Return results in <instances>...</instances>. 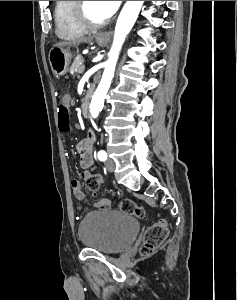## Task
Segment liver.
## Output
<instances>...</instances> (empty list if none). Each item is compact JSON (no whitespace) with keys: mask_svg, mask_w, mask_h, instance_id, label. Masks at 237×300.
I'll use <instances>...</instances> for the list:
<instances>
[{"mask_svg":"<svg viewBox=\"0 0 237 300\" xmlns=\"http://www.w3.org/2000/svg\"><path fill=\"white\" fill-rule=\"evenodd\" d=\"M87 41H92V37H85V39H82V41H79V43H87ZM66 45H70V43H56L54 47H60V49H63V47H66ZM74 45V43H72Z\"/></svg>","mask_w":237,"mask_h":300,"instance_id":"1","label":"liver"}]
</instances>
